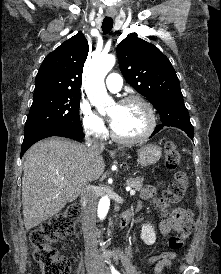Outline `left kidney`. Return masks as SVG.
Here are the masks:
<instances>
[{
  "instance_id": "1",
  "label": "left kidney",
  "mask_w": 221,
  "mask_h": 274,
  "mask_svg": "<svg viewBox=\"0 0 221 274\" xmlns=\"http://www.w3.org/2000/svg\"><path fill=\"white\" fill-rule=\"evenodd\" d=\"M141 239L147 245H152V244L155 243V241H156V234H155L153 226H151L150 224H144V225H142Z\"/></svg>"
}]
</instances>
